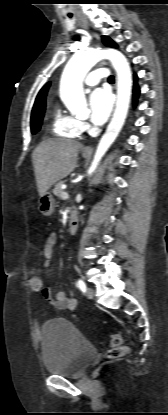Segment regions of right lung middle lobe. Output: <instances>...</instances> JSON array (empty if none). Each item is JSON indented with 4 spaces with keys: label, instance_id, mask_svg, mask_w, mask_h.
<instances>
[{
    "label": "right lung middle lobe",
    "instance_id": "dd1d6c3e",
    "mask_svg": "<svg viewBox=\"0 0 168 415\" xmlns=\"http://www.w3.org/2000/svg\"><path fill=\"white\" fill-rule=\"evenodd\" d=\"M45 107L39 110L33 111L31 115V132L35 134L40 130L42 119L44 116Z\"/></svg>",
    "mask_w": 168,
    "mask_h": 415
}]
</instances>
